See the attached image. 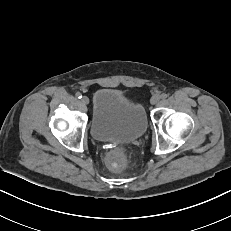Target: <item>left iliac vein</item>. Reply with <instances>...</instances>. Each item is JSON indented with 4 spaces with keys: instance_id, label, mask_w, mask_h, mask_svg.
<instances>
[{
    "instance_id": "4c4485c4",
    "label": "left iliac vein",
    "mask_w": 231,
    "mask_h": 231,
    "mask_svg": "<svg viewBox=\"0 0 231 231\" xmlns=\"http://www.w3.org/2000/svg\"><path fill=\"white\" fill-rule=\"evenodd\" d=\"M160 99H161V97L156 94V95L152 96L150 102H151V104L155 105V104H157L160 101Z\"/></svg>"
}]
</instances>
